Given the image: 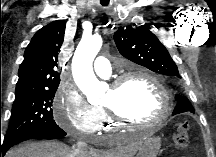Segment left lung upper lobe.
Returning <instances> with one entry per match:
<instances>
[{"instance_id":"1","label":"left lung upper lobe","mask_w":216,"mask_h":157,"mask_svg":"<svg viewBox=\"0 0 216 157\" xmlns=\"http://www.w3.org/2000/svg\"><path fill=\"white\" fill-rule=\"evenodd\" d=\"M115 44L125 58L151 71L180 78L177 65L165 46L145 26L121 28L114 33ZM177 104L186 103L190 112L194 108L189 100L176 95Z\"/></svg>"}]
</instances>
